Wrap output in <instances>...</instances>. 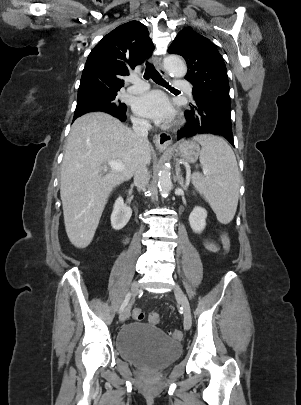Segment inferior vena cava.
Instances as JSON below:
<instances>
[{"label": "inferior vena cava", "instance_id": "1", "mask_svg": "<svg viewBox=\"0 0 301 405\" xmlns=\"http://www.w3.org/2000/svg\"><path fill=\"white\" fill-rule=\"evenodd\" d=\"M133 123V132L135 136L140 141H148V131L151 128L150 123L147 120L143 119H134ZM149 172L145 163H139L134 172V183L137 186V189L140 191L144 189L149 183Z\"/></svg>", "mask_w": 301, "mask_h": 405}]
</instances>
